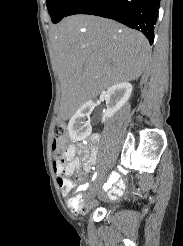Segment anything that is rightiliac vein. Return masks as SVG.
<instances>
[{"mask_svg":"<svg viewBox=\"0 0 183 246\" xmlns=\"http://www.w3.org/2000/svg\"><path fill=\"white\" fill-rule=\"evenodd\" d=\"M98 187H99V182L96 181V182L94 183V185L92 186V188H91V195L94 196V195L97 193Z\"/></svg>","mask_w":183,"mask_h":246,"instance_id":"63e3f726","label":"right iliac vein"}]
</instances>
